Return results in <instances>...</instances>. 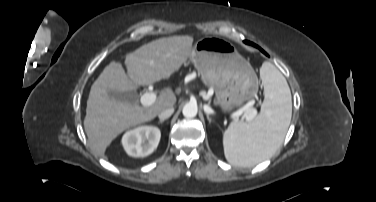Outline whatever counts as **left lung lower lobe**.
Instances as JSON below:
<instances>
[{"label":"left lung lower lobe","mask_w":376,"mask_h":202,"mask_svg":"<svg viewBox=\"0 0 376 202\" xmlns=\"http://www.w3.org/2000/svg\"><path fill=\"white\" fill-rule=\"evenodd\" d=\"M246 44H250V45H253L254 47L258 48L260 51H262L264 53V51L256 44L252 43V42H249V41H245Z\"/></svg>","instance_id":"0a47b994"}]
</instances>
